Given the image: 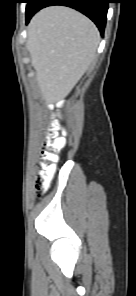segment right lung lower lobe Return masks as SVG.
<instances>
[{"instance_id":"98d812e1","label":"right lung lower lobe","mask_w":136,"mask_h":296,"mask_svg":"<svg viewBox=\"0 0 136 296\" xmlns=\"http://www.w3.org/2000/svg\"><path fill=\"white\" fill-rule=\"evenodd\" d=\"M109 0H33L31 9L26 12V23L40 9L51 5H64L74 8L89 17L103 35Z\"/></svg>"}]
</instances>
